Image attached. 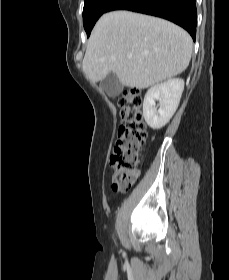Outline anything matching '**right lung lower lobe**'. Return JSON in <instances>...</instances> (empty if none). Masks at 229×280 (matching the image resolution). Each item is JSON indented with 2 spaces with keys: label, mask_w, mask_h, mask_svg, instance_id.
Returning <instances> with one entry per match:
<instances>
[{
  "label": "right lung lower lobe",
  "mask_w": 229,
  "mask_h": 280,
  "mask_svg": "<svg viewBox=\"0 0 229 280\" xmlns=\"http://www.w3.org/2000/svg\"><path fill=\"white\" fill-rule=\"evenodd\" d=\"M196 0H114L106 12L130 10L167 19L183 27L196 38Z\"/></svg>",
  "instance_id": "1"
}]
</instances>
